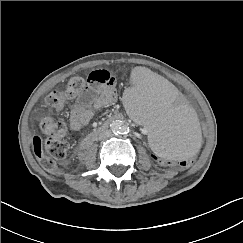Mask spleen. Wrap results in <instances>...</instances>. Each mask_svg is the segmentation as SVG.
Instances as JSON below:
<instances>
[{"mask_svg": "<svg viewBox=\"0 0 243 243\" xmlns=\"http://www.w3.org/2000/svg\"><path fill=\"white\" fill-rule=\"evenodd\" d=\"M123 102L130 118L147 124L146 144L154 155L183 161L197 153L200 134L191 103L166 76L136 79Z\"/></svg>", "mask_w": 243, "mask_h": 243, "instance_id": "3e777b00", "label": "spleen"}]
</instances>
